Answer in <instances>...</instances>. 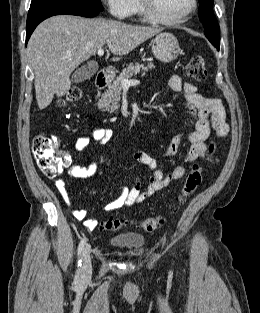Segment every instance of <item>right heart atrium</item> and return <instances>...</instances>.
I'll return each instance as SVG.
<instances>
[{
  "mask_svg": "<svg viewBox=\"0 0 260 313\" xmlns=\"http://www.w3.org/2000/svg\"><path fill=\"white\" fill-rule=\"evenodd\" d=\"M107 9L117 19L128 18L134 10L135 0H102Z\"/></svg>",
  "mask_w": 260,
  "mask_h": 313,
  "instance_id": "1",
  "label": "right heart atrium"
}]
</instances>
